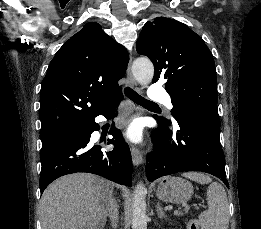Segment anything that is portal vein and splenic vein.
<instances>
[{
    "label": "portal vein and splenic vein",
    "instance_id": "1",
    "mask_svg": "<svg viewBox=\"0 0 261 229\" xmlns=\"http://www.w3.org/2000/svg\"><path fill=\"white\" fill-rule=\"evenodd\" d=\"M199 207H204V204H199V203H184L183 208L179 210L178 208H175L173 211L174 215H178L179 213H182V211H187L190 208H199Z\"/></svg>",
    "mask_w": 261,
    "mask_h": 229
}]
</instances>
